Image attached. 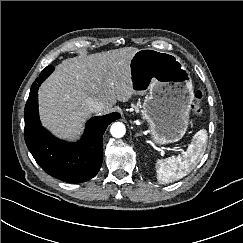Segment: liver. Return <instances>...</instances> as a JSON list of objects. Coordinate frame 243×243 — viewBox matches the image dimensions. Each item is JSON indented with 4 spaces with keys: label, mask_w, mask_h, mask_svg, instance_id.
<instances>
[{
    "label": "liver",
    "mask_w": 243,
    "mask_h": 243,
    "mask_svg": "<svg viewBox=\"0 0 243 243\" xmlns=\"http://www.w3.org/2000/svg\"><path fill=\"white\" fill-rule=\"evenodd\" d=\"M138 48L124 47L64 60L41 85L42 124L60 138L73 139L91 115L86 100L105 104L102 113L133 94L130 61Z\"/></svg>",
    "instance_id": "liver-1"
}]
</instances>
